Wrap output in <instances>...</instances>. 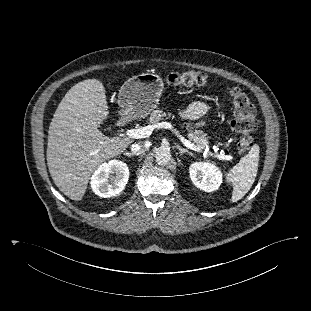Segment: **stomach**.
Listing matches in <instances>:
<instances>
[{
    "instance_id": "1",
    "label": "stomach",
    "mask_w": 311,
    "mask_h": 311,
    "mask_svg": "<svg viewBox=\"0 0 311 311\" xmlns=\"http://www.w3.org/2000/svg\"><path fill=\"white\" fill-rule=\"evenodd\" d=\"M163 89V81L157 74L142 73L128 79L118 94L122 114L144 118L157 107Z\"/></svg>"
}]
</instances>
